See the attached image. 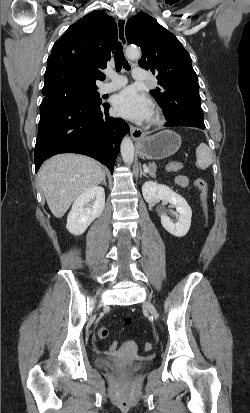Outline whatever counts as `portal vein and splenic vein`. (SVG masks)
Wrapping results in <instances>:
<instances>
[{
	"mask_svg": "<svg viewBox=\"0 0 250 413\" xmlns=\"http://www.w3.org/2000/svg\"><path fill=\"white\" fill-rule=\"evenodd\" d=\"M145 171L147 172L148 171V169L145 167Z\"/></svg>",
	"mask_w": 250,
	"mask_h": 413,
	"instance_id": "obj_1",
	"label": "portal vein and splenic vein"
}]
</instances>
